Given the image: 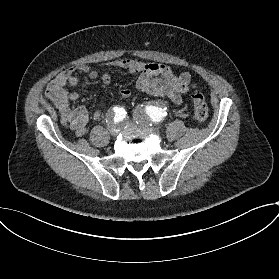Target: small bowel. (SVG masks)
Listing matches in <instances>:
<instances>
[{
	"instance_id": "c3829d8e",
	"label": "small bowel",
	"mask_w": 279,
	"mask_h": 279,
	"mask_svg": "<svg viewBox=\"0 0 279 279\" xmlns=\"http://www.w3.org/2000/svg\"><path fill=\"white\" fill-rule=\"evenodd\" d=\"M107 66L138 73V89L154 97L168 99L176 105L181 102V94L194 87L189 72L177 73L170 66L160 63L124 58L112 61ZM77 73L86 74L90 79L97 78V71L87 65L70 66L48 84L45 97L58 110L61 124L80 137L87 131L89 113L84 107L70 108V102L77 100L79 94L69 92L66 88L67 85L75 86L78 84ZM101 80L104 84L109 85L111 76L109 73H104ZM119 94L125 99H128L131 95L126 88L121 89ZM101 116L102 111L100 109H96L92 114V117L96 120Z\"/></svg>"
}]
</instances>
